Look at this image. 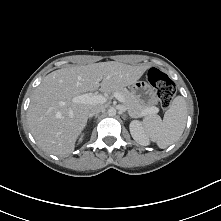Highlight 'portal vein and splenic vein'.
<instances>
[{
    "instance_id": "18ae733b",
    "label": "portal vein and splenic vein",
    "mask_w": 221,
    "mask_h": 221,
    "mask_svg": "<svg viewBox=\"0 0 221 221\" xmlns=\"http://www.w3.org/2000/svg\"><path fill=\"white\" fill-rule=\"evenodd\" d=\"M114 97L121 103H124L125 99L124 97L115 92ZM107 101V98L103 95H93L92 93H85L79 96H76L74 98V102L76 103H85V104H102ZM155 112H158V109L156 107H150L147 108L142 114L148 115V114H154Z\"/></svg>"
}]
</instances>
